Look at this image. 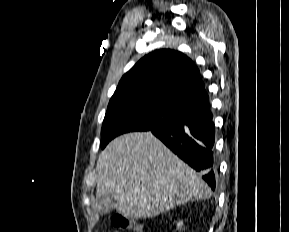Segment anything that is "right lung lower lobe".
I'll use <instances>...</instances> for the list:
<instances>
[{
	"instance_id": "98d812e1",
	"label": "right lung lower lobe",
	"mask_w": 289,
	"mask_h": 232,
	"mask_svg": "<svg viewBox=\"0 0 289 232\" xmlns=\"http://www.w3.org/2000/svg\"><path fill=\"white\" fill-rule=\"evenodd\" d=\"M209 103L183 110L180 115L150 131L215 189V126Z\"/></svg>"
}]
</instances>
